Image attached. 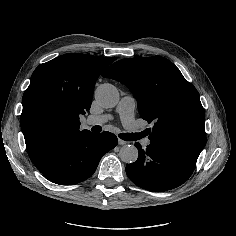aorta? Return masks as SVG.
Masks as SVG:
<instances>
[{
	"label": "aorta",
	"mask_w": 236,
	"mask_h": 236,
	"mask_svg": "<svg viewBox=\"0 0 236 236\" xmlns=\"http://www.w3.org/2000/svg\"><path fill=\"white\" fill-rule=\"evenodd\" d=\"M95 98L104 108H111L119 102V93L114 85L106 83L96 89ZM138 154V149L134 145H124L119 151V157L125 163L135 162Z\"/></svg>",
	"instance_id": "1"
}]
</instances>
